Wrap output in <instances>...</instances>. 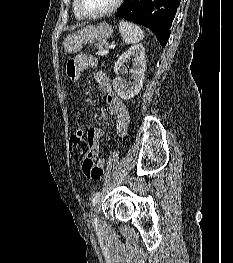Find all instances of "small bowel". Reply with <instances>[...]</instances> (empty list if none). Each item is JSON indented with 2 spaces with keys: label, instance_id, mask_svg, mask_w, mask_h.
I'll use <instances>...</instances> for the list:
<instances>
[{
  "label": "small bowel",
  "instance_id": "small-bowel-1",
  "mask_svg": "<svg viewBox=\"0 0 233 263\" xmlns=\"http://www.w3.org/2000/svg\"><path fill=\"white\" fill-rule=\"evenodd\" d=\"M97 59L89 54H80L67 65V74L70 79L77 80L80 74L87 69L96 68ZM94 79L100 92L106 95L107 112L116 119V132L119 137L126 135L129 125V112L123 100L114 92L111 82L102 70L96 69ZM102 136L100 129H91V153L90 160L97 165H105V159L99 158V140Z\"/></svg>",
  "mask_w": 233,
  "mask_h": 263
}]
</instances>
